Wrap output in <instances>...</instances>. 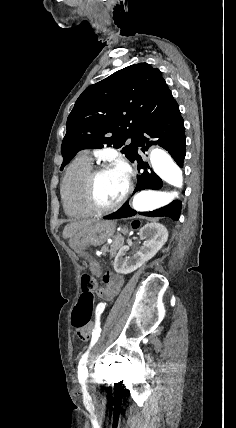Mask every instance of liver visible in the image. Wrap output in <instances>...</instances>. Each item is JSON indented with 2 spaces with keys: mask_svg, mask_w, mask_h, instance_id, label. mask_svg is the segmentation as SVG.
Returning a JSON list of instances; mask_svg holds the SVG:
<instances>
[{
  "mask_svg": "<svg viewBox=\"0 0 236 428\" xmlns=\"http://www.w3.org/2000/svg\"><path fill=\"white\" fill-rule=\"evenodd\" d=\"M94 220H83V222H71V224H67L63 230V238H76L78 234H80L81 230H83L84 226H88V224H92Z\"/></svg>",
  "mask_w": 236,
  "mask_h": 428,
  "instance_id": "1",
  "label": "liver"
}]
</instances>
